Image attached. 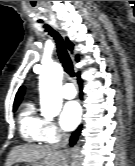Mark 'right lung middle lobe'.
I'll return each mask as SVG.
<instances>
[{
    "instance_id": "obj_1",
    "label": "right lung middle lobe",
    "mask_w": 135,
    "mask_h": 166,
    "mask_svg": "<svg viewBox=\"0 0 135 166\" xmlns=\"http://www.w3.org/2000/svg\"><path fill=\"white\" fill-rule=\"evenodd\" d=\"M17 107H18V105L13 106V111H16Z\"/></svg>"
}]
</instances>
